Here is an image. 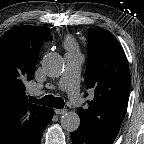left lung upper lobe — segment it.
Wrapping results in <instances>:
<instances>
[{
	"mask_svg": "<svg viewBox=\"0 0 144 144\" xmlns=\"http://www.w3.org/2000/svg\"><path fill=\"white\" fill-rule=\"evenodd\" d=\"M85 80L94 98L87 101L86 109H78L80 124L96 135L115 139L126 111L131 79L125 53L107 30L88 32Z\"/></svg>",
	"mask_w": 144,
	"mask_h": 144,
	"instance_id": "5c2ea615",
	"label": "left lung upper lobe"
}]
</instances>
